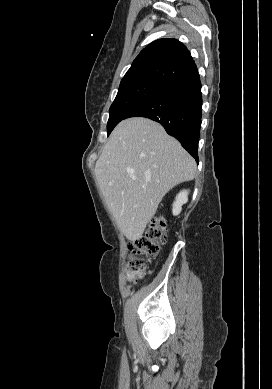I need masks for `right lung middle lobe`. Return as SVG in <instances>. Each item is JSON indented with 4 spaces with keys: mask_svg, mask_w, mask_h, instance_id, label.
Returning a JSON list of instances; mask_svg holds the SVG:
<instances>
[{
    "mask_svg": "<svg viewBox=\"0 0 272 389\" xmlns=\"http://www.w3.org/2000/svg\"><path fill=\"white\" fill-rule=\"evenodd\" d=\"M164 85L151 81H139L119 86L117 96L109 109L108 135L127 113Z\"/></svg>",
    "mask_w": 272,
    "mask_h": 389,
    "instance_id": "right-lung-middle-lobe-1",
    "label": "right lung middle lobe"
}]
</instances>
